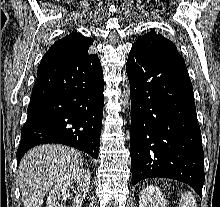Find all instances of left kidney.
Returning a JSON list of instances; mask_svg holds the SVG:
<instances>
[{
    "label": "left kidney",
    "mask_w": 220,
    "mask_h": 207,
    "mask_svg": "<svg viewBox=\"0 0 220 207\" xmlns=\"http://www.w3.org/2000/svg\"><path fill=\"white\" fill-rule=\"evenodd\" d=\"M139 207H166V201L157 187L147 186L140 194Z\"/></svg>",
    "instance_id": "left-kidney-1"
}]
</instances>
